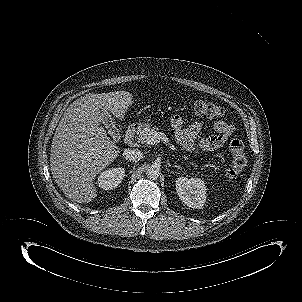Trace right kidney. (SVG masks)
<instances>
[{
	"label": "right kidney",
	"instance_id": "right-kidney-1",
	"mask_svg": "<svg viewBox=\"0 0 302 302\" xmlns=\"http://www.w3.org/2000/svg\"><path fill=\"white\" fill-rule=\"evenodd\" d=\"M125 171L123 168H117L111 171L101 173L98 177V184L104 190L116 188L123 180Z\"/></svg>",
	"mask_w": 302,
	"mask_h": 302
}]
</instances>
